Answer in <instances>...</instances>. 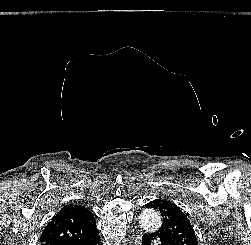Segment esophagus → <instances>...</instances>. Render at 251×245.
I'll return each mask as SVG.
<instances>
[{
  "instance_id": "obj_1",
  "label": "esophagus",
  "mask_w": 251,
  "mask_h": 245,
  "mask_svg": "<svg viewBox=\"0 0 251 245\" xmlns=\"http://www.w3.org/2000/svg\"><path fill=\"white\" fill-rule=\"evenodd\" d=\"M129 245H141V233L136 231L129 240Z\"/></svg>"
}]
</instances>
